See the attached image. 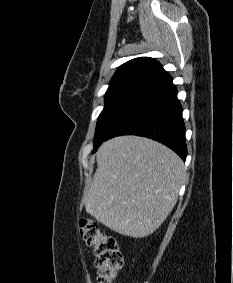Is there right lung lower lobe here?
<instances>
[{"label":"right lung lower lobe","mask_w":233,"mask_h":283,"mask_svg":"<svg viewBox=\"0 0 233 283\" xmlns=\"http://www.w3.org/2000/svg\"><path fill=\"white\" fill-rule=\"evenodd\" d=\"M120 135H138L156 140L187 156L182 107L172 77L165 74L153 80L111 128L106 139Z\"/></svg>","instance_id":"1"}]
</instances>
